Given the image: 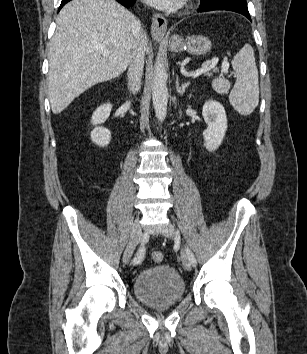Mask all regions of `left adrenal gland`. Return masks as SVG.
<instances>
[{"label": "left adrenal gland", "mask_w": 307, "mask_h": 354, "mask_svg": "<svg viewBox=\"0 0 307 354\" xmlns=\"http://www.w3.org/2000/svg\"><path fill=\"white\" fill-rule=\"evenodd\" d=\"M190 85V82H186L180 86L178 77L176 78V90L180 95H183L186 88Z\"/></svg>", "instance_id": "left-adrenal-gland-1"}]
</instances>
